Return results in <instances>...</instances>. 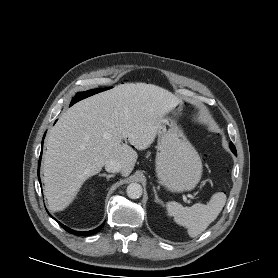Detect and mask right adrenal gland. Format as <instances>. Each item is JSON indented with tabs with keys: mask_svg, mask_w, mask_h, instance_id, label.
Masks as SVG:
<instances>
[{
	"mask_svg": "<svg viewBox=\"0 0 278 278\" xmlns=\"http://www.w3.org/2000/svg\"><path fill=\"white\" fill-rule=\"evenodd\" d=\"M99 176H101V177H106V179H107V181L110 179V178H112V177H114L115 176V174H106V173H103V174H99Z\"/></svg>",
	"mask_w": 278,
	"mask_h": 278,
	"instance_id": "right-adrenal-gland-1",
	"label": "right adrenal gland"
}]
</instances>
